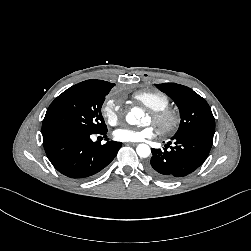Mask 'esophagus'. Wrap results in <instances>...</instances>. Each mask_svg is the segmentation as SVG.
Segmentation results:
<instances>
[{"label": "esophagus", "mask_w": 251, "mask_h": 251, "mask_svg": "<svg viewBox=\"0 0 251 251\" xmlns=\"http://www.w3.org/2000/svg\"><path fill=\"white\" fill-rule=\"evenodd\" d=\"M126 144L130 145V146H136L137 145V143H133V142H127Z\"/></svg>", "instance_id": "34e87169"}]
</instances>
